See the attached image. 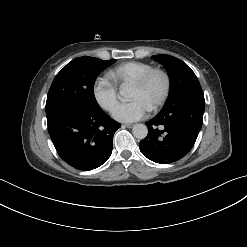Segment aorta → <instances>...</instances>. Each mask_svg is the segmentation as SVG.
I'll use <instances>...</instances> for the list:
<instances>
[{
	"instance_id": "obj_1",
	"label": "aorta",
	"mask_w": 247,
	"mask_h": 247,
	"mask_svg": "<svg viewBox=\"0 0 247 247\" xmlns=\"http://www.w3.org/2000/svg\"><path fill=\"white\" fill-rule=\"evenodd\" d=\"M129 90H130L129 89V86L126 85V84H123L120 87V90H119L120 96L122 98H125L126 99L128 97ZM132 133H133V135H134L135 138L142 140L148 134L147 126L144 125V124H135L133 126Z\"/></svg>"
}]
</instances>
